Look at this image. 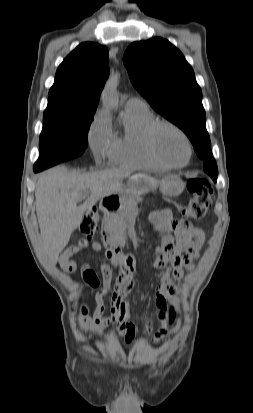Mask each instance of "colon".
<instances>
[{
	"instance_id": "obj_1",
	"label": "colon",
	"mask_w": 253,
	"mask_h": 413,
	"mask_svg": "<svg viewBox=\"0 0 253 413\" xmlns=\"http://www.w3.org/2000/svg\"><path fill=\"white\" fill-rule=\"evenodd\" d=\"M191 198L183 209V216L187 219L203 218L211 204L212 188L208 180L204 178H194L187 183ZM98 213L96 210L88 211L82 218L79 230L89 240L98 226ZM86 240V241H87ZM84 312L86 309L84 308ZM174 312L169 313L170 320L174 319Z\"/></svg>"
}]
</instances>
